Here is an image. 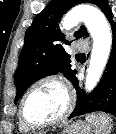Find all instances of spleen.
Here are the masks:
<instances>
[{"instance_id": "spleen-1", "label": "spleen", "mask_w": 116, "mask_h": 134, "mask_svg": "<svg viewBox=\"0 0 116 134\" xmlns=\"http://www.w3.org/2000/svg\"><path fill=\"white\" fill-rule=\"evenodd\" d=\"M86 120L94 127L95 134H110L112 130V119L104 113L89 114Z\"/></svg>"}]
</instances>
